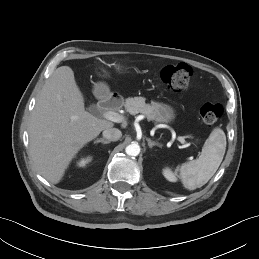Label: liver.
Listing matches in <instances>:
<instances>
[{
    "label": "liver",
    "instance_id": "6515ba94",
    "mask_svg": "<svg viewBox=\"0 0 259 259\" xmlns=\"http://www.w3.org/2000/svg\"><path fill=\"white\" fill-rule=\"evenodd\" d=\"M110 121L85 111L84 98L69 66L57 68L45 82L29 123V151L37 171L57 184L79 150Z\"/></svg>",
    "mask_w": 259,
    "mask_h": 259
}]
</instances>
